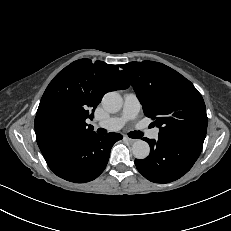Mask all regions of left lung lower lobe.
<instances>
[{"instance_id":"obj_1","label":"left lung lower lobe","mask_w":231,"mask_h":231,"mask_svg":"<svg viewBox=\"0 0 231 231\" xmlns=\"http://www.w3.org/2000/svg\"><path fill=\"white\" fill-rule=\"evenodd\" d=\"M190 134L159 135L158 140L144 138L150 145L146 159H135L138 171L155 183H169L186 174L198 159L204 143Z\"/></svg>"}]
</instances>
